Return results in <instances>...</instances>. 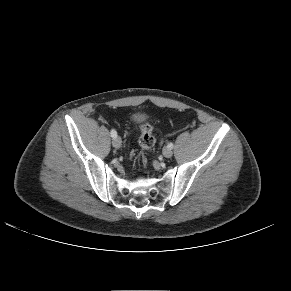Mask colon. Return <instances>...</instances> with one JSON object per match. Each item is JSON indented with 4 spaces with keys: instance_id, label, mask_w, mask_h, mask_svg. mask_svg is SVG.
I'll return each mask as SVG.
<instances>
[{
    "instance_id": "colon-1",
    "label": "colon",
    "mask_w": 291,
    "mask_h": 291,
    "mask_svg": "<svg viewBox=\"0 0 291 291\" xmlns=\"http://www.w3.org/2000/svg\"><path fill=\"white\" fill-rule=\"evenodd\" d=\"M138 143L144 150H148L154 146L155 137L153 135V127L151 124L144 123L141 125Z\"/></svg>"
}]
</instances>
